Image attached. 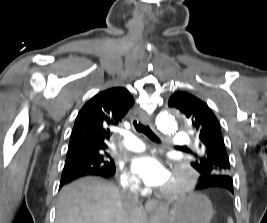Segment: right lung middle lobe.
Masks as SVG:
<instances>
[{"label":"right lung middle lobe","instance_id":"1","mask_svg":"<svg viewBox=\"0 0 267 223\" xmlns=\"http://www.w3.org/2000/svg\"><path fill=\"white\" fill-rule=\"evenodd\" d=\"M63 171L114 174L115 164L107 151L97 152L87 148L81 154H68Z\"/></svg>","mask_w":267,"mask_h":223}]
</instances>
